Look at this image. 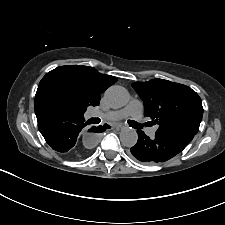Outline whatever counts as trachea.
<instances>
[{"label":"trachea","instance_id":"1","mask_svg":"<svg viewBox=\"0 0 225 225\" xmlns=\"http://www.w3.org/2000/svg\"><path fill=\"white\" fill-rule=\"evenodd\" d=\"M129 124L132 127L136 128V129H140L141 128V126L137 122H135V121H129Z\"/></svg>","mask_w":225,"mask_h":225}]
</instances>
